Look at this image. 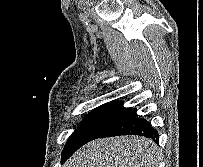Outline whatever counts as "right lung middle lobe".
<instances>
[{
  "label": "right lung middle lobe",
  "mask_w": 203,
  "mask_h": 167,
  "mask_svg": "<svg viewBox=\"0 0 203 167\" xmlns=\"http://www.w3.org/2000/svg\"><path fill=\"white\" fill-rule=\"evenodd\" d=\"M131 108H124L113 104H104L86 115L72 136L69 138L65 149L73 154L84 144L105 134L116 125Z\"/></svg>",
  "instance_id": "dd1d6c3e"
}]
</instances>
